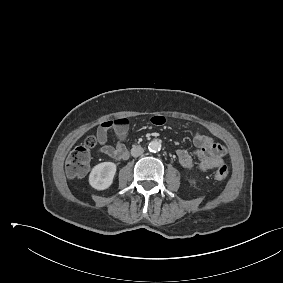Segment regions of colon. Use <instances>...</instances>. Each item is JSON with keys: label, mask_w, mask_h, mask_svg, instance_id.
<instances>
[{"label": "colon", "mask_w": 283, "mask_h": 283, "mask_svg": "<svg viewBox=\"0 0 283 283\" xmlns=\"http://www.w3.org/2000/svg\"><path fill=\"white\" fill-rule=\"evenodd\" d=\"M97 144L95 137L86 138L82 145L74 148L68 155L66 161V172L70 177H79L85 175L90 167V150ZM228 176V168L221 165L215 171V177L218 180H224Z\"/></svg>", "instance_id": "colon-1"}]
</instances>
